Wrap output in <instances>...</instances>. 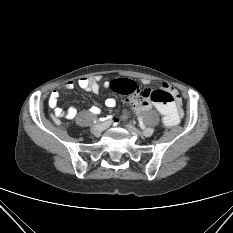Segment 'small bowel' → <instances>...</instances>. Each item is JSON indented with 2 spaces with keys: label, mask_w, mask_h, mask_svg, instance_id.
Instances as JSON below:
<instances>
[{
  "label": "small bowel",
  "mask_w": 233,
  "mask_h": 233,
  "mask_svg": "<svg viewBox=\"0 0 233 233\" xmlns=\"http://www.w3.org/2000/svg\"><path fill=\"white\" fill-rule=\"evenodd\" d=\"M99 81H100V77H83L78 80V86L87 92L98 93L100 89ZM103 86L105 88H109L111 87V83L109 81H105L103 83ZM73 87H74L73 81L69 80V81L62 83L61 85H59L58 87L54 88L51 91L48 103L56 117L64 116L66 119H69V120L76 117L77 115L76 107L72 106V107H69L67 110L63 111L58 106L59 92L61 90H71ZM162 89H165L172 94L174 98L175 106L177 110L180 112L181 111V98H180V95L178 94V91L167 83L162 85ZM127 102H128L130 109L135 113L148 110L151 107V103L149 101L140 102L133 98H129ZM105 105L108 108H114L116 106V100L112 97H109L105 100ZM89 111L90 113L94 115L101 114V109L98 106H94V105L90 106ZM106 120L107 122H110V124H115L117 122V120L113 117H107Z\"/></svg>",
  "instance_id": "1"
}]
</instances>
